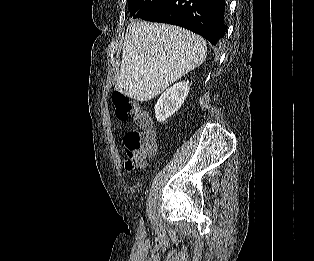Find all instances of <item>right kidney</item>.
Returning a JSON list of instances; mask_svg holds the SVG:
<instances>
[{"mask_svg":"<svg viewBox=\"0 0 314 261\" xmlns=\"http://www.w3.org/2000/svg\"><path fill=\"white\" fill-rule=\"evenodd\" d=\"M189 93V82H179L168 88L155 105V117L158 122H164L173 115L184 103Z\"/></svg>","mask_w":314,"mask_h":261,"instance_id":"1","label":"right kidney"}]
</instances>
